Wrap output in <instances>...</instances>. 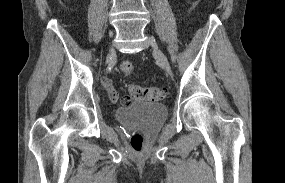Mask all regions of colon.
Instances as JSON below:
<instances>
[{
    "label": "colon",
    "mask_w": 285,
    "mask_h": 183,
    "mask_svg": "<svg viewBox=\"0 0 285 183\" xmlns=\"http://www.w3.org/2000/svg\"><path fill=\"white\" fill-rule=\"evenodd\" d=\"M135 66L131 61H123L120 64V71L124 75H130L134 72ZM130 98H124L123 103L128 104L131 99L160 101L166 96V90L159 87H142L138 85H131L129 87ZM113 98V97H112ZM145 139L140 134H134L131 138V145L135 151H141L145 146Z\"/></svg>",
    "instance_id": "1"
}]
</instances>
